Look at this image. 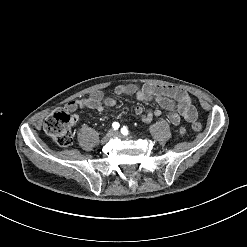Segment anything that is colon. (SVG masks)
<instances>
[{"label": "colon", "mask_w": 247, "mask_h": 247, "mask_svg": "<svg viewBox=\"0 0 247 247\" xmlns=\"http://www.w3.org/2000/svg\"><path fill=\"white\" fill-rule=\"evenodd\" d=\"M72 116L62 110L51 113L43 122V129L51 139L61 147L70 145L73 140ZM193 129L196 132L201 131V123Z\"/></svg>", "instance_id": "colon-1"}]
</instances>
